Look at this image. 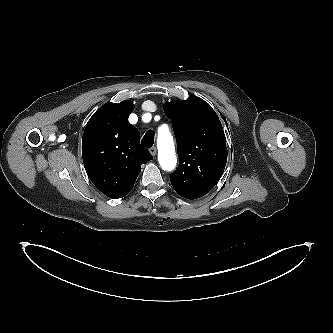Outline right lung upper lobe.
Returning <instances> with one entry per match:
<instances>
[{
  "label": "right lung upper lobe",
  "mask_w": 333,
  "mask_h": 333,
  "mask_svg": "<svg viewBox=\"0 0 333 333\" xmlns=\"http://www.w3.org/2000/svg\"><path fill=\"white\" fill-rule=\"evenodd\" d=\"M133 109L129 100L104 104L88 121L82 138L83 162L90 180L113 199L127 195L141 165L153 159L128 121Z\"/></svg>",
  "instance_id": "obj_1"
}]
</instances>
